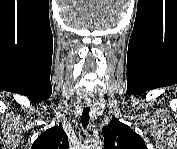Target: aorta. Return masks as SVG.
Instances as JSON below:
<instances>
[{
  "instance_id": "obj_1",
  "label": "aorta",
  "mask_w": 177,
  "mask_h": 149,
  "mask_svg": "<svg viewBox=\"0 0 177 149\" xmlns=\"http://www.w3.org/2000/svg\"><path fill=\"white\" fill-rule=\"evenodd\" d=\"M102 144L99 141H95L89 145L86 146V149H101Z\"/></svg>"
}]
</instances>
